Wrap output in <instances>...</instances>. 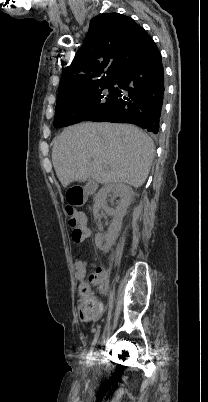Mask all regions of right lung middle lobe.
<instances>
[{
	"mask_svg": "<svg viewBox=\"0 0 208 402\" xmlns=\"http://www.w3.org/2000/svg\"><path fill=\"white\" fill-rule=\"evenodd\" d=\"M115 80H97L58 94L54 126L75 124L109 111L115 104Z\"/></svg>",
	"mask_w": 208,
	"mask_h": 402,
	"instance_id": "dd1d6c3e",
	"label": "right lung middle lobe"
}]
</instances>
